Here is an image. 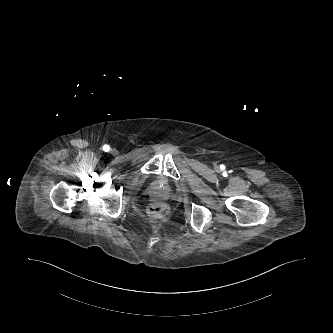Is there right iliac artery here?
<instances>
[{"instance_id":"right-iliac-artery-1","label":"right iliac artery","mask_w":333,"mask_h":333,"mask_svg":"<svg viewBox=\"0 0 333 333\" xmlns=\"http://www.w3.org/2000/svg\"><path fill=\"white\" fill-rule=\"evenodd\" d=\"M102 149L105 151V152H108L110 150V146L105 144L103 145Z\"/></svg>"}]
</instances>
